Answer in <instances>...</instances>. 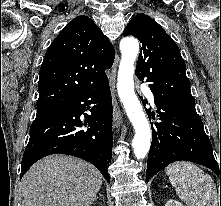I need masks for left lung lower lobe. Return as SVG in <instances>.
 Segmentation results:
<instances>
[{"label": "left lung lower lobe", "mask_w": 221, "mask_h": 206, "mask_svg": "<svg viewBox=\"0 0 221 206\" xmlns=\"http://www.w3.org/2000/svg\"><path fill=\"white\" fill-rule=\"evenodd\" d=\"M154 101L162 122L154 126L151 124L152 143L148 154L147 182L167 165L180 160L210 168L221 181V162L217 163L214 158L210 140L196 110L170 107L155 98ZM146 111L151 119L150 111Z\"/></svg>", "instance_id": "1"}]
</instances>
